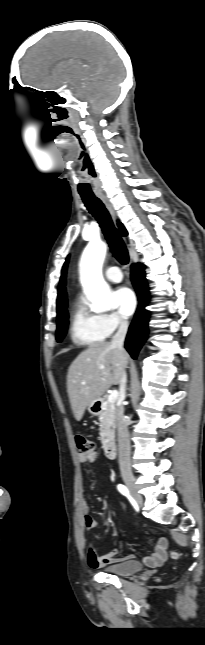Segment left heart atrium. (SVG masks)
Returning a JSON list of instances; mask_svg holds the SVG:
<instances>
[{
	"label": "left heart atrium",
	"mask_w": 205,
	"mask_h": 645,
	"mask_svg": "<svg viewBox=\"0 0 205 645\" xmlns=\"http://www.w3.org/2000/svg\"><path fill=\"white\" fill-rule=\"evenodd\" d=\"M114 300L118 310L124 317L133 314L136 308V297L133 291L127 287H121L114 292Z\"/></svg>",
	"instance_id": "left-heart-atrium-1"
}]
</instances>
